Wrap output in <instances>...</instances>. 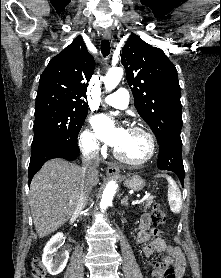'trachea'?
<instances>
[{"label":"trachea","instance_id":"trachea-1","mask_svg":"<svg viewBox=\"0 0 221 278\" xmlns=\"http://www.w3.org/2000/svg\"><path fill=\"white\" fill-rule=\"evenodd\" d=\"M101 53L104 57H107L110 53V42L108 40H103L101 42Z\"/></svg>","mask_w":221,"mask_h":278}]
</instances>
